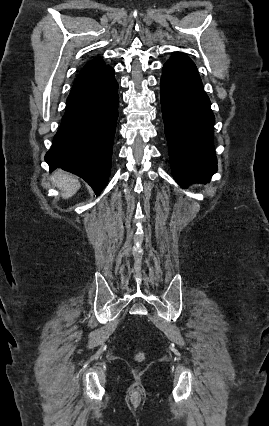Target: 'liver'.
Listing matches in <instances>:
<instances>
[{"label":"liver","mask_w":269,"mask_h":426,"mask_svg":"<svg viewBox=\"0 0 269 426\" xmlns=\"http://www.w3.org/2000/svg\"><path fill=\"white\" fill-rule=\"evenodd\" d=\"M52 183L61 191L64 199L72 197L80 188V183L73 175L62 170H56L52 177Z\"/></svg>","instance_id":"1"}]
</instances>
